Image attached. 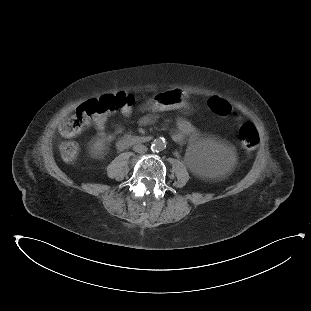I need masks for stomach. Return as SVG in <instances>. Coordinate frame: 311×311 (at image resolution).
Here are the masks:
<instances>
[{
  "label": "stomach",
  "mask_w": 311,
  "mask_h": 311,
  "mask_svg": "<svg viewBox=\"0 0 311 311\" xmlns=\"http://www.w3.org/2000/svg\"><path fill=\"white\" fill-rule=\"evenodd\" d=\"M151 104L158 109H176L184 106V100L181 94H177L175 96H168L164 93H158L151 100Z\"/></svg>",
  "instance_id": "0dacf381"
}]
</instances>
